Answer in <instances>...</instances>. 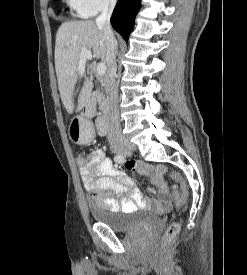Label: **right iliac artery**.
<instances>
[{
    "mask_svg": "<svg viewBox=\"0 0 247 275\" xmlns=\"http://www.w3.org/2000/svg\"><path fill=\"white\" fill-rule=\"evenodd\" d=\"M124 159H125V157L123 155H121V154H117L114 157V161L117 162V163H123Z\"/></svg>",
    "mask_w": 247,
    "mask_h": 275,
    "instance_id": "right-iliac-artery-1",
    "label": "right iliac artery"
}]
</instances>
